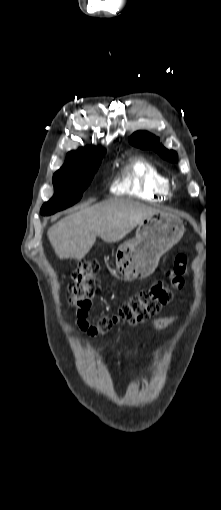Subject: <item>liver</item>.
Wrapping results in <instances>:
<instances>
[{
    "mask_svg": "<svg viewBox=\"0 0 221 510\" xmlns=\"http://www.w3.org/2000/svg\"><path fill=\"white\" fill-rule=\"evenodd\" d=\"M160 210L137 201L114 198L82 207L52 225L47 236L60 259L81 260L99 236L116 243Z\"/></svg>",
    "mask_w": 221,
    "mask_h": 510,
    "instance_id": "liver-1",
    "label": "liver"
}]
</instances>
